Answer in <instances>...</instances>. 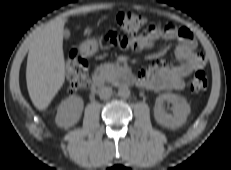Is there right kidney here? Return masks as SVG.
I'll use <instances>...</instances> for the list:
<instances>
[{"label": "right kidney", "instance_id": "ca27d5eb", "mask_svg": "<svg viewBox=\"0 0 231 170\" xmlns=\"http://www.w3.org/2000/svg\"><path fill=\"white\" fill-rule=\"evenodd\" d=\"M84 102L78 96L66 98L58 107L56 115V124L59 127L68 128L75 125L82 114Z\"/></svg>", "mask_w": 231, "mask_h": 170}]
</instances>
